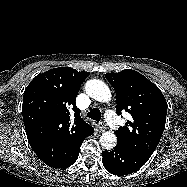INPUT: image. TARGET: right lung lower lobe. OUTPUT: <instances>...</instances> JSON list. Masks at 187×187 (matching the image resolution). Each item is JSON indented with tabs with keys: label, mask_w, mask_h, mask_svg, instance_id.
<instances>
[{
	"label": "right lung lower lobe",
	"mask_w": 187,
	"mask_h": 187,
	"mask_svg": "<svg viewBox=\"0 0 187 187\" xmlns=\"http://www.w3.org/2000/svg\"><path fill=\"white\" fill-rule=\"evenodd\" d=\"M92 134H90V135H92ZM84 139H81V141H79L74 146V148L72 150V153H71V156L66 161H63V162H61L59 164H56V165H53L51 167H53V168H67V167L71 166L77 160V158H78L79 151H80V146H81V144H82V142H83Z\"/></svg>",
	"instance_id": "98d812e1"
}]
</instances>
